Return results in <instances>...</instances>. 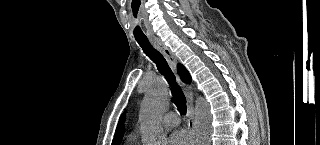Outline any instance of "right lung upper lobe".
Instances as JSON below:
<instances>
[{"instance_id":"cb5924a9","label":"right lung upper lobe","mask_w":320,"mask_h":145,"mask_svg":"<svg viewBox=\"0 0 320 145\" xmlns=\"http://www.w3.org/2000/svg\"><path fill=\"white\" fill-rule=\"evenodd\" d=\"M177 70L181 76L182 81H184L185 83L191 82V76H190L189 72L187 71V69L182 64H178ZM124 121H125V113H123L119 119L112 144L119 145V143L124 135V133L122 131Z\"/></svg>"}]
</instances>
